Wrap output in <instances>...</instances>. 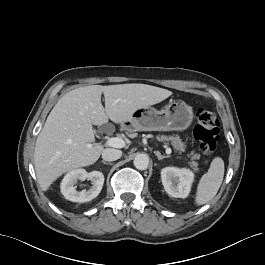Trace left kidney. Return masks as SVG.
<instances>
[{
    "label": "left kidney",
    "mask_w": 265,
    "mask_h": 265,
    "mask_svg": "<svg viewBox=\"0 0 265 265\" xmlns=\"http://www.w3.org/2000/svg\"><path fill=\"white\" fill-rule=\"evenodd\" d=\"M165 191L175 198H186L194 181V173L186 168L165 167L161 170Z\"/></svg>",
    "instance_id": "left-kidney-1"
}]
</instances>
